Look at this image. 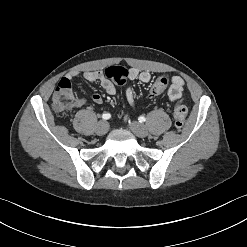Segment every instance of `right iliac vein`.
<instances>
[{
    "label": "right iliac vein",
    "instance_id": "63e3f726",
    "mask_svg": "<svg viewBox=\"0 0 247 247\" xmlns=\"http://www.w3.org/2000/svg\"><path fill=\"white\" fill-rule=\"evenodd\" d=\"M108 129H109L108 122L105 120H101L97 123L95 131L98 135H104L107 133Z\"/></svg>",
    "mask_w": 247,
    "mask_h": 247
}]
</instances>
